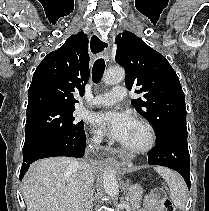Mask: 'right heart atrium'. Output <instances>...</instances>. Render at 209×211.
Here are the masks:
<instances>
[{
    "label": "right heart atrium",
    "mask_w": 209,
    "mask_h": 211,
    "mask_svg": "<svg viewBox=\"0 0 209 211\" xmlns=\"http://www.w3.org/2000/svg\"><path fill=\"white\" fill-rule=\"evenodd\" d=\"M101 140H102V136L99 133H96V132L92 133L91 141L93 143H99Z\"/></svg>",
    "instance_id": "obj_1"
}]
</instances>
